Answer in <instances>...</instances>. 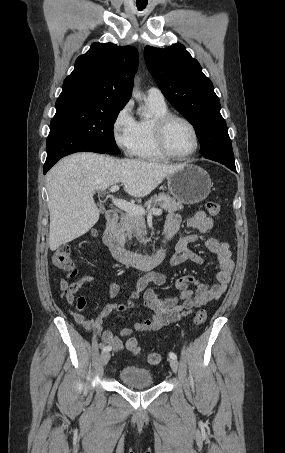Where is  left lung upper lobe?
I'll return each mask as SVG.
<instances>
[{
	"label": "left lung upper lobe",
	"mask_w": 285,
	"mask_h": 453,
	"mask_svg": "<svg viewBox=\"0 0 285 453\" xmlns=\"http://www.w3.org/2000/svg\"><path fill=\"white\" fill-rule=\"evenodd\" d=\"M144 58L167 100L194 126L201 156L219 152L234 157L220 101L198 61L181 44L146 46Z\"/></svg>",
	"instance_id": "1"
}]
</instances>
